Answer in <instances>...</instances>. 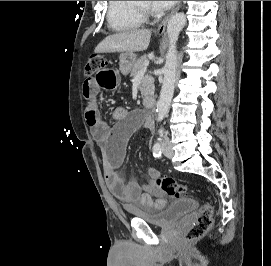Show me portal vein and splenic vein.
I'll return each instance as SVG.
<instances>
[{
  "label": "portal vein and splenic vein",
  "mask_w": 271,
  "mask_h": 266,
  "mask_svg": "<svg viewBox=\"0 0 271 266\" xmlns=\"http://www.w3.org/2000/svg\"><path fill=\"white\" fill-rule=\"evenodd\" d=\"M148 66H149V61H146V62L144 63V69L141 70V71L139 72V74H144V72L146 71V69H147Z\"/></svg>",
  "instance_id": "1"
}]
</instances>
